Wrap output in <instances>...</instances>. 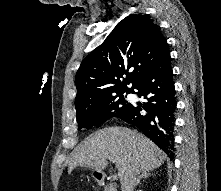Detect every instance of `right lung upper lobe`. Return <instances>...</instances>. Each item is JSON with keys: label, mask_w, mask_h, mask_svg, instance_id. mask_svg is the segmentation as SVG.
I'll use <instances>...</instances> for the list:
<instances>
[{"label": "right lung upper lobe", "mask_w": 221, "mask_h": 191, "mask_svg": "<svg viewBox=\"0 0 221 191\" xmlns=\"http://www.w3.org/2000/svg\"><path fill=\"white\" fill-rule=\"evenodd\" d=\"M168 52L153 19L141 14L125 17L82 61L75 77L76 112L132 90Z\"/></svg>", "instance_id": "1"}]
</instances>
